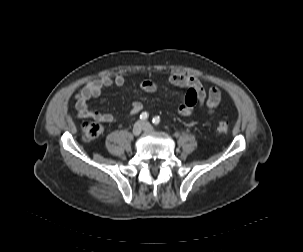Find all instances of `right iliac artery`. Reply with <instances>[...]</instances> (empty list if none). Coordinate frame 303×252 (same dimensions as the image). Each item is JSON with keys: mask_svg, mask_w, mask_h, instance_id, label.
Listing matches in <instances>:
<instances>
[{"mask_svg": "<svg viewBox=\"0 0 303 252\" xmlns=\"http://www.w3.org/2000/svg\"><path fill=\"white\" fill-rule=\"evenodd\" d=\"M140 119L145 121L148 119V113L147 112H143L140 114Z\"/></svg>", "mask_w": 303, "mask_h": 252, "instance_id": "1", "label": "right iliac artery"}]
</instances>
